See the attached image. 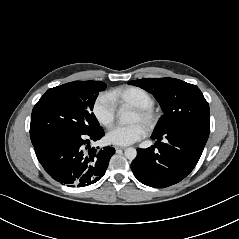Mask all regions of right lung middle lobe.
<instances>
[{"instance_id": "obj_1", "label": "right lung middle lobe", "mask_w": 239, "mask_h": 239, "mask_svg": "<svg viewBox=\"0 0 239 239\" xmlns=\"http://www.w3.org/2000/svg\"><path fill=\"white\" fill-rule=\"evenodd\" d=\"M100 81H74L49 89L34 106L30 137L35 145L44 135L56 131L89 133L100 128L91 112L100 91Z\"/></svg>"}]
</instances>
